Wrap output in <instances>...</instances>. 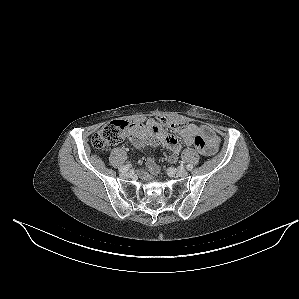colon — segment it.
<instances>
[{
	"label": "colon",
	"instance_id": "colon-1",
	"mask_svg": "<svg viewBox=\"0 0 299 299\" xmlns=\"http://www.w3.org/2000/svg\"><path fill=\"white\" fill-rule=\"evenodd\" d=\"M161 123L162 125L175 131H179L185 126L184 123L171 121L166 118H162ZM136 128H143V124L132 123L126 120L111 121L104 125L92 137V145L98 150H107L111 146L120 143L127 136V134L130 133L131 130ZM194 145L196 149L203 154H207L209 152L206 140L201 135L195 138Z\"/></svg>",
	"mask_w": 299,
	"mask_h": 299
}]
</instances>
